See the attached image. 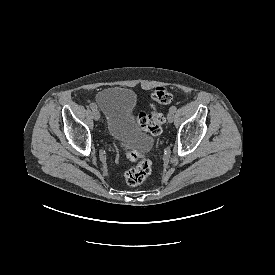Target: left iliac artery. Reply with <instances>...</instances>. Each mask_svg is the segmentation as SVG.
<instances>
[{"label": "left iliac artery", "mask_w": 275, "mask_h": 275, "mask_svg": "<svg viewBox=\"0 0 275 275\" xmlns=\"http://www.w3.org/2000/svg\"><path fill=\"white\" fill-rule=\"evenodd\" d=\"M176 109H177L176 106H171L169 111L174 113L176 111Z\"/></svg>", "instance_id": "obj_1"}]
</instances>
